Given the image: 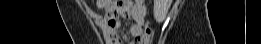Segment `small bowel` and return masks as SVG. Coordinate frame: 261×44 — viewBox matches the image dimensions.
<instances>
[{
    "mask_svg": "<svg viewBox=\"0 0 261 44\" xmlns=\"http://www.w3.org/2000/svg\"><path fill=\"white\" fill-rule=\"evenodd\" d=\"M105 7L108 8V11L103 26L104 35L107 41L111 44H137L136 40L142 34L146 16L144 1L137 0L134 2L133 6H124V8L110 5ZM128 15L134 20V24L130 27L131 38L122 32L121 17Z\"/></svg>",
    "mask_w": 261,
    "mask_h": 44,
    "instance_id": "small-bowel-1",
    "label": "small bowel"
}]
</instances>
